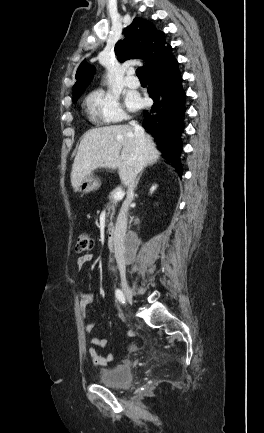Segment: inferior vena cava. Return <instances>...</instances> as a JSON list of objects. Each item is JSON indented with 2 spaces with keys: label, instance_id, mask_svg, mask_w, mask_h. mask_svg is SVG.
Instances as JSON below:
<instances>
[{
  "label": "inferior vena cava",
  "instance_id": "602c4592",
  "mask_svg": "<svg viewBox=\"0 0 264 433\" xmlns=\"http://www.w3.org/2000/svg\"><path fill=\"white\" fill-rule=\"evenodd\" d=\"M130 125L134 130V136L136 139V156L137 162L135 165L134 173L128 184L127 198L123 203L121 213L118 217V230L116 236V252L115 257L117 259L118 269L120 271L121 278H125L126 276V263L125 252H124V242H126V237L128 236L127 232V218H128V210L129 206L134 197V189L137 174L143 169L144 163V151H145V133L144 129L135 121H131Z\"/></svg>",
  "mask_w": 264,
  "mask_h": 433
}]
</instances>
